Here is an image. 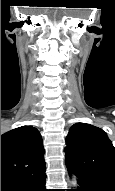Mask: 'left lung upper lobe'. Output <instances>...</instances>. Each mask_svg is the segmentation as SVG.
Instances as JSON below:
<instances>
[{
  "label": "left lung upper lobe",
  "instance_id": "left-lung-upper-lobe-1",
  "mask_svg": "<svg viewBox=\"0 0 115 191\" xmlns=\"http://www.w3.org/2000/svg\"><path fill=\"white\" fill-rule=\"evenodd\" d=\"M66 143L67 168L115 185V147L102 129L76 123L69 130Z\"/></svg>",
  "mask_w": 115,
  "mask_h": 191
}]
</instances>
